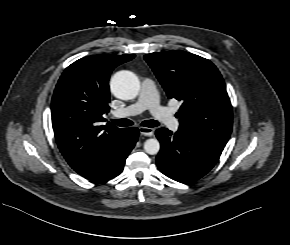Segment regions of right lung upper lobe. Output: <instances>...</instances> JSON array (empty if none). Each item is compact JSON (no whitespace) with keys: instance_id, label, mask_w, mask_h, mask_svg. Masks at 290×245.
<instances>
[{"instance_id":"cb5924a9","label":"right lung upper lobe","mask_w":290,"mask_h":245,"mask_svg":"<svg viewBox=\"0 0 290 245\" xmlns=\"http://www.w3.org/2000/svg\"><path fill=\"white\" fill-rule=\"evenodd\" d=\"M134 54L81 58L61 75L51 103L57 145L68 164L80 175L106 164L126 144V128L105 121L109 111L108 81L112 70Z\"/></svg>"}]
</instances>
